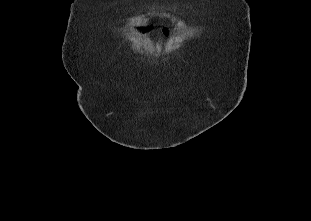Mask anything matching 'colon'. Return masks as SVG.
Wrapping results in <instances>:
<instances>
[{
    "label": "colon",
    "instance_id": "1",
    "mask_svg": "<svg viewBox=\"0 0 311 221\" xmlns=\"http://www.w3.org/2000/svg\"><path fill=\"white\" fill-rule=\"evenodd\" d=\"M147 30H150V27H147ZM148 37H151V34H148Z\"/></svg>",
    "mask_w": 311,
    "mask_h": 221
}]
</instances>
